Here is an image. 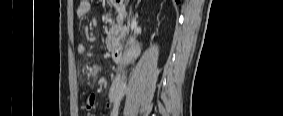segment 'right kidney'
<instances>
[{
  "instance_id": "obj_1",
  "label": "right kidney",
  "mask_w": 283,
  "mask_h": 116,
  "mask_svg": "<svg viewBox=\"0 0 283 116\" xmlns=\"http://www.w3.org/2000/svg\"><path fill=\"white\" fill-rule=\"evenodd\" d=\"M134 48H135L136 54L139 55L141 51L140 44L134 43Z\"/></svg>"
}]
</instances>
